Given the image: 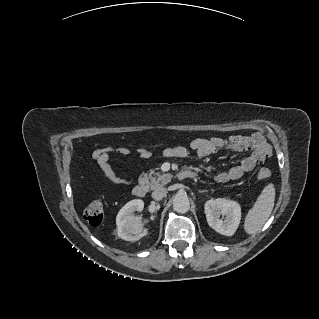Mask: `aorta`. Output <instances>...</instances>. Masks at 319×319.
Returning a JSON list of instances; mask_svg holds the SVG:
<instances>
[{
	"mask_svg": "<svg viewBox=\"0 0 319 319\" xmlns=\"http://www.w3.org/2000/svg\"><path fill=\"white\" fill-rule=\"evenodd\" d=\"M173 208L176 212L184 214L190 209V202L185 192H178L173 198Z\"/></svg>",
	"mask_w": 319,
	"mask_h": 319,
	"instance_id": "762f6f07",
	"label": "aorta"
}]
</instances>
